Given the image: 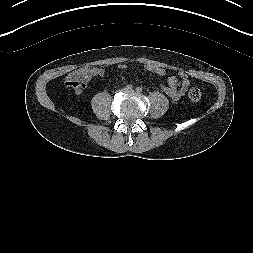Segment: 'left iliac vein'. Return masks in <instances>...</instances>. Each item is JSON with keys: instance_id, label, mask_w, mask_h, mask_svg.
Instances as JSON below:
<instances>
[{"instance_id": "4c4485c4", "label": "left iliac vein", "mask_w": 253, "mask_h": 253, "mask_svg": "<svg viewBox=\"0 0 253 253\" xmlns=\"http://www.w3.org/2000/svg\"><path fill=\"white\" fill-rule=\"evenodd\" d=\"M128 92L133 93V92H134V90H132V89H131V90H128Z\"/></svg>"}]
</instances>
